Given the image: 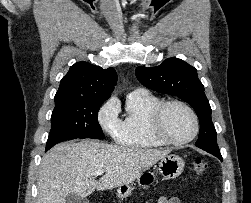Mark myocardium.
I'll use <instances>...</instances> for the list:
<instances>
[{"mask_svg":"<svg viewBox=\"0 0 251 203\" xmlns=\"http://www.w3.org/2000/svg\"><path fill=\"white\" fill-rule=\"evenodd\" d=\"M172 105H179L183 107L184 109H186L193 120V124H194L193 131L190 134V136H188L185 139H181V140L172 139L169 136H167L163 131L162 125H163L164 113L167 110V108ZM148 126H149V131L151 135L155 139L160 141L161 143L166 144V145H185V144L190 143L196 138L199 132L200 125H199V119L196 112L188 103L179 99H171V100L160 102L158 105H156L152 109L149 116Z\"/></svg>","mask_w":251,"mask_h":203,"instance_id":"f54148a6","label":"myocardium"}]
</instances>
